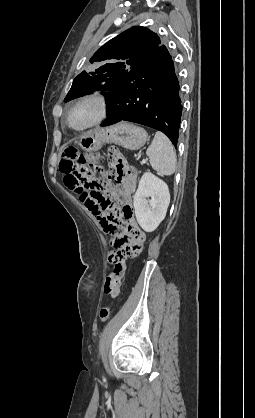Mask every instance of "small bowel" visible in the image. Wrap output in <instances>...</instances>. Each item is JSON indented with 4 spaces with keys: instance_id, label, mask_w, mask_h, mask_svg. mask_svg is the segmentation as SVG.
<instances>
[{
    "instance_id": "c3829d8e",
    "label": "small bowel",
    "mask_w": 255,
    "mask_h": 418,
    "mask_svg": "<svg viewBox=\"0 0 255 418\" xmlns=\"http://www.w3.org/2000/svg\"><path fill=\"white\" fill-rule=\"evenodd\" d=\"M106 157L108 163H113L116 168V185L107 189L109 195L120 204L115 216L124 221L132 219V195L136 189L137 172L125 161L121 147H108ZM98 223L114 239L110 242V263L112 264L110 270L112 272L107 275L104 283L105 300L110 302L120 297L119 285L120 280L125 278L126 261H134L135 256L142 255V249L145 246V231L143 228L111 227L109 220Z\"/></svg>"
}]
</instances>
